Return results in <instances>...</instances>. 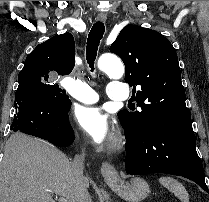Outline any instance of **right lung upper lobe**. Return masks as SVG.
<instances>
[{
  "mask_svg": "<svg viewBox=\"0 0 209 202\" xmlns=\"http://www.w3.org/2000/svg\"><path fill=\"white\" fill-rule=\"evenodd\" d=\"M75 65V43L71 33L56 35L36 48L26 58L18 76L24 74L58 75L71 73Z\"/></svg>",
  "mask_w": 209,
  "mask_h": 202,
  "instance_id": "obj_1",
  "label": "right lung upper lobe"
}]
</instances>
